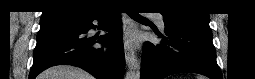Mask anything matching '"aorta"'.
Here are the masks:
<instances>
[{
    "mask_svg": "<svg viewBox=\"0 0 255 79\" xmlns=\"http://www.w3.org/2000/svg\"><path fill=\"white\" fill-rule=\"evenodd\" d=\"M125 79H140V63L137 60L131 62Z\"/></svg>",
    "mask_w": 255,
    "mask_h": 79,
    "instance_id": "1",
    "label": "aorta"
}]
</instances>
